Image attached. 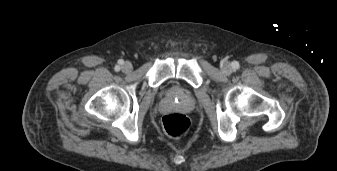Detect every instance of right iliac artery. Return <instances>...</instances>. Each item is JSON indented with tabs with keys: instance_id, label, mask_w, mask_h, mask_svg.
I'll use <instances>...</instances> for the list:
<instances>
[{
	"instance_id": "right-iliac-artery-1",
	"label": "right iliac artery",
	"mask_w": 337,
	"mask_h": 171,
	"mask_svg": "<svg viewBox=\"0 0 337 171\" xmlns=\"http://www.w3.org/2000/svg\"><path fill=\"white\" fill-rule=\"evenodd\" d=\"M123 63V61H120V64H122ZM120 70V67L119 66H116L115 67V71H119Z\"/></svg>"
}]
</instances>
